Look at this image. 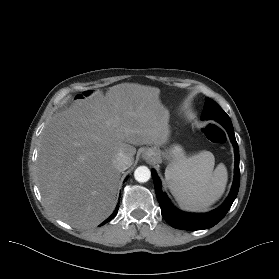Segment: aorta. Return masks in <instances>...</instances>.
I'll return each instance as SVG.
<instances>
[{"label":"aorta","instance_id":"aorta-1","mask_svg":"<svg viewBox=\"0 0 279 279\" xmlns=\"http://www.w3.org/2000/svg\"><path fill=\"white\" fill-rule=\"evenodd\" d=\"M134 178L140 183L147 182L151 178V172L146 166H139L134 171Z\"/></svg>","mask_w":279,"mask_h":279}]
</instances>
